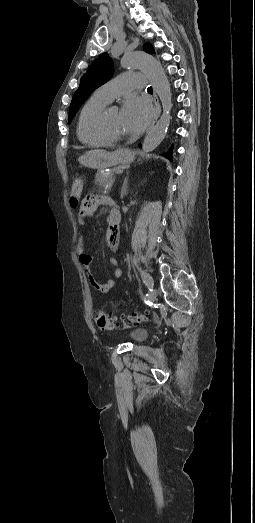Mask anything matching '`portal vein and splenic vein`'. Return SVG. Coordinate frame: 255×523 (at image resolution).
Listing matches in <instances>:
<instances>
[{"mask_svg":"<svg viewBox=\"0 0 255 523\" xmlns=\"http://www.w3.org/2000/svg\"><path fill=\"white\" fill-rule=\"evenodd\" d=\"M117 176H123L125 174V171L123 169L117 170L116 172Z\"/></svg>","mask_w":255,"mask_h":523,"instance_id":"1","label":"portal vein and splenic vein"}]
</instances>
